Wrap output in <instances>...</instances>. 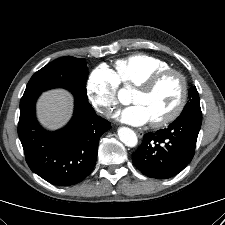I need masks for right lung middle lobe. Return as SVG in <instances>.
Here are the masks:
<instances>
[{
    "label": "right lung middle lobe",
    "instance_id": "right-lung-middle-lobe-1",
    "mask_svg": "<svg viewBox=\"0 0 225 225\" xmlns=\"http://www.w3.org/2000/svg\"><path fill=\"white\" fill-rule=\"evenodd\" d=\"M87 75L85 59L61 57L37 71L29 80L23 95L40 94L47 89L63 87L71 91L75 98L88 102Z\"/></svg>",
    "mask_w": 225,
    "mask_h": 225
}]
</instances>
